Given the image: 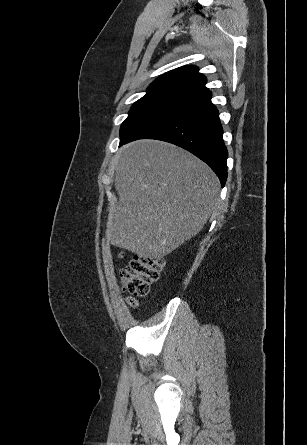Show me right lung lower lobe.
<instances>
[{
    "label": "right lung lower lobe",
    "mask_w": 307,
    "mask_h": 445,
    "mask_svg": "<svg viewBox=\"0 0 307 445\" xmlns=\"http://www.w3.org/2000/svg\"><path fill=\"white\" fill-rule=\"evenodd\" d=\"M211 92L183 104L120 140L119 146L137 139H157L173 143L196 155L217 174L224 186L228 152L218 110L211 103Z\"/></svg>",
    "instance_id": "right-lung-lower-lobe-1"
}]
</instances>
